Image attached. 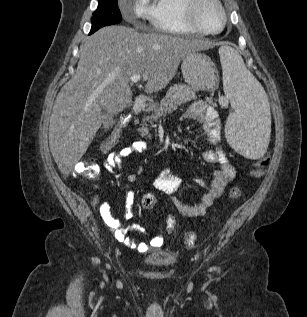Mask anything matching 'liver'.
<instances>
[{"label": "liver", "instance_id": "liver-1", "mask_svg": "<svg viewBox=\"0 0 307 317\" xmlns=\"http://www.w3.org/2000/svg\"><path fill=\"white\" fill-rule=\"evenodd\" d=\"M213 46L125 26L105 27L88 37L50 118L49 147L61 173L67 176L87 151L102 124V108L113 116L131 106V76L143 74L146 93L157 92L174 78L186 54Z\"/></svg>", "mask_w": 307, "mask_h": 317}]
</instances>
